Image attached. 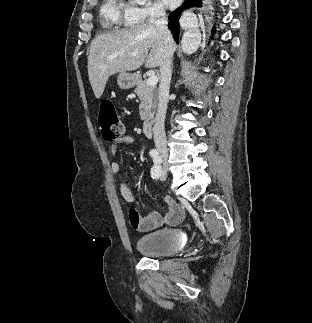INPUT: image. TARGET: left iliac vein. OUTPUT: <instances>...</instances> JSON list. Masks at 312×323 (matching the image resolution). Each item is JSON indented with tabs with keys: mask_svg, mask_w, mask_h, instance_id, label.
Returning a JSON list of instances; mask_svg holds the SVG:
<instances>
[{
	"mask_svg": "<svg viewBox=\"0 0 312 323\" xmlns=\"http://www.w3.org/2000/svg\"><path fill=\"white\" fill-rule=\"evenodd\" d=\"M165 177H166V168H165V166H164V167H163V172H162V173H160L159 178H160L161 180H164V179H165Z\"/></svg>",
	"mask_w": 312,
	"mask_h": 323,
	"instance_id": "obj_1",
	"label": "left iliac vein"
}]
</instances>
